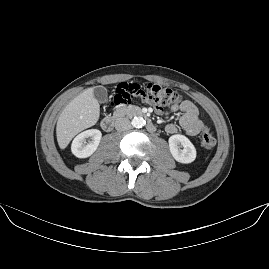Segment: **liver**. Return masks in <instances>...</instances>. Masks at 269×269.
<instances>
[{
	"label": "liver",
	"instance_id": "liver-1",
	"mask_svg": "<svg viewBox=\"0 0 269 269\" xmlns=\"http://www.w3.org/2000/svg\"><path fill=\"white\" fill-rule=\"evenodd\" d=\"M99 117V103L93 88L84 90L62 111L57 122V140L65 148L80 131L94 125Z\"/></svg>",
	"mask_w": 269,
	"mask_h": 269
}]
</instances>
